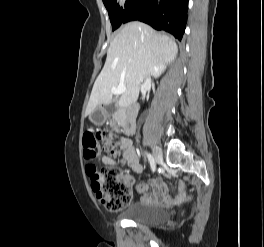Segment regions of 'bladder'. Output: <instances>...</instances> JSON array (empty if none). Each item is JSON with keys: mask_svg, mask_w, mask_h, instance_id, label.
<instances>
[{"mask_svg": "<svg viewBox=\"0 0 264 247\" xmlns=\"http://www.w3.org/2000/svg\"><path fill=\"white\" fill-rule=\"evenodd\" d=\"M124 216L126 219L136 223L148 226H160L168 223L171 212L169 209L161 206L135 202L128 207Z\"/></svg>", "mask_w": 264, "mask_h": 247, "instance_id": "obj_1", "label": "bladder"}]
</instances>
